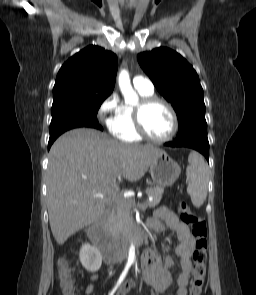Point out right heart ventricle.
Here are the masks:
<instances>
[{"label":"right heart ventricle","mask_w":256,"mask_h":295,"mask_svg":"<svg viewBox=\"0 0 256 295\" xmlns=\"http://www.w3.org/2000/svg\"><path fill=\"white\" fill-rule=\"evenodd\" d=\"M137 92L142 98L153 95V92H144L141 90H137ZM133 110V106L129 104H123L121 106L120 120L111 129L114 136L124 142H138L142 138L137 133L134 126Z\"/></svg>","instance_id":"right-heart-ventricle-1"}]
</instances>
